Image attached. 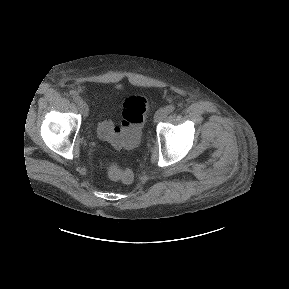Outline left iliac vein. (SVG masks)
Returning a JSON list of instances; mask_svg holds the SVG:
<instances>
[{"instance_id":"1","label":"left iliac vein","mask_w":289,"mask_h":289,"mask_svg":"<svg viewBox=\"0 0 289 289\" xmlns=\"http://www.w3.org/2000/svg\"><path fill=\"white\" fill-rule=\"evenodd\" d=\"M168 114V111L166 108H160L159 110L156 111L154 115V122H160L162 121Z\"/></svg>"}]
</instances>
